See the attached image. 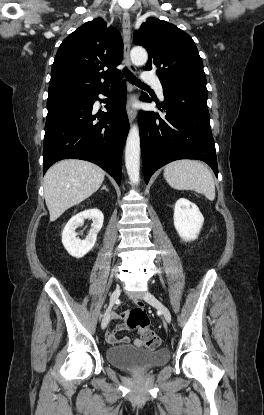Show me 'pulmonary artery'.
Masks as SVG:
<instances>
[{
    "instance_id": "pulmonary-artery-1",
    "label": "pulmonary artery",
    "mask_w": 264,
    "mask_h": 415,
    "mask_svg": "<svg viewBox=\"0 0 264 415\" xmlns=\"http://www.w3.org/2000/svg\"><path fill=\"white\" fill-rule=\"evenodd\" d=\"M142 79H143L144 82L151 83L154 86L155 91H156L157 95L160 98H163L164 97L163 96V88H162V85H161L160 81L156 77H154L153 75H150L148 73H144L142 75Z\"/></svg>"
}]
</instances>
